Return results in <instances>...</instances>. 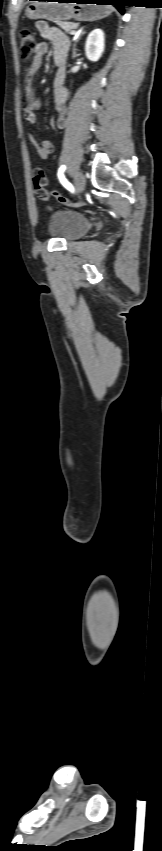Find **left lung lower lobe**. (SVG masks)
Here are the masks:
<instances>
[{
	"label": "left lung lower lobe",
	"mask_w": 162,
	"mask_h": 851,
	"mask_svg": "<svg viewBox=\"0 0 162 851\" xmlns=\"http://www.w3.org/2000/svg\"><path fill=\"white\" fill-rule=\"evenodd\" d=\"M59 2H66L68 0H58ZM85 3H97V4H109L114 5L121 13H124L123 6H126V0H83Z\"/></svg>",
	"instance_id": "0a47b994"
}]
</instances>
